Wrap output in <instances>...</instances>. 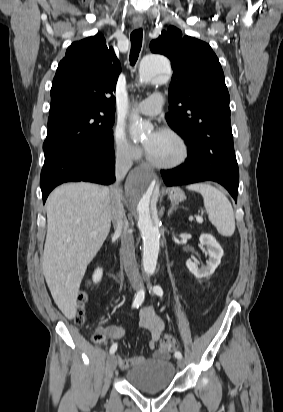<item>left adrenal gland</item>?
<instances>
[{"mask_svg": "<svg viewBox=\"0 0 283 412\" xmlns=\"http://www.w3.org/2000/svg\"><path fill=\"white\" fill-rule=\"evenodd\" d=\"M176 206L174 205V204H172V206L170 207V209L168 210V216H170L172 213H173V211H175L176 210Z\"/></svg>", "mask_w": 283, "mask_h": 412, "instance_id": "a2214340", "label": "left adrenal gland"}]
</instances>
